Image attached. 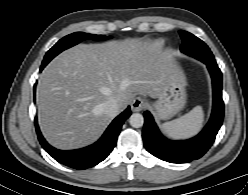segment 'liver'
<instances>
[{
    "label": "liver",
    "mask_w": 248,
    "mask_h": 195,
    "mask_svg": "<svg viewBox=\"0 0 248 195\" xmlns=\"http://www.w3.org/2000/svg\"><path fill=\"white\" fill-rule=\"evenodd\" d=\"M177 70L168 51L141 38L68 49L40 75L37 104L41 131L59 149L89 145L114 118L102 111L106 100L116 99L121 112L134 93L158 98Z\"/></svg>",
    "instance_id": "obj_1"
}]
</instances>
